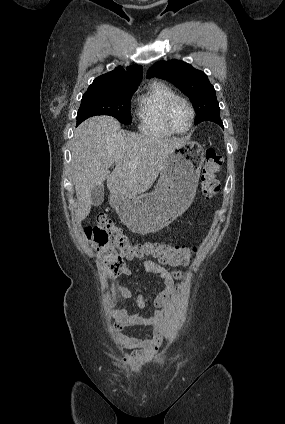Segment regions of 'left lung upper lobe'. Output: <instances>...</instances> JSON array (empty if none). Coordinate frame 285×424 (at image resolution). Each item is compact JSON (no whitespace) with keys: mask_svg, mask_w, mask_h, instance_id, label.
Instances as JSON below:
<instances>
[{"mask_svg":"<svg viewBox=\"0 0 285 424\" xmlns=\"http://www.w3.org/2000/svg\"><path fill=\"white\" fill-rule=\"evenodd\" d=\"M165 79L179 88L191 100L196 111L195 125L220 117L215 89L207 75L180 60L160 61L151 66L147 78Z\"/></svg>","mask_w":285,"mask_h":424,"instance_id":"left-lung-upper-lobe-1","label":"left lung upper lobe"}]
</instances>
